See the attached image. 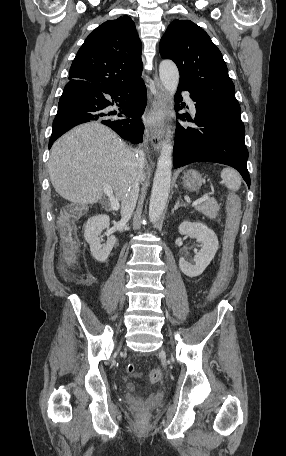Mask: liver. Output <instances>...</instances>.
Returning a JSON list of instances; mask_svg holds the SVG:
<instances>
[{"instance_id": "obj_1", "label": "liver", "mask_w": 286, "mask_h": 456, "mask_svg": "<svg viewBox=\"0 0 286 456\" xmlns=\"http://www.w3.org/2000/svg\"><path fill=\"white\" fill-rule=\"evenodd\" d=\"M136 161L135 153L115 132L91 122L53 144L48 172L55 191L72 203H97L104 185H110L117 201H122L137 174Z\"/></svg>"}]
</instances>
